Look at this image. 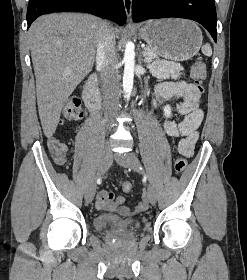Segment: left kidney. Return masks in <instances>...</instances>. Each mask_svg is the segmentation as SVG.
Instances as JSON below:
<instances>
[{"instance_id": "5707ae66", "label": "left kidney", "mask_w": 247, "mask_h": 280, "mask_svg": "<svg viewBox=\"0 0 247 280\" xmlns=\"http://www.w3.org/2000/svg\"><path fill=\"white\" fill-rule=\"evenodd\" d=\"M163 112L166 118H170L172 116L171 107L168 105L163 108Z\"/></svg>"}]
</instances>
